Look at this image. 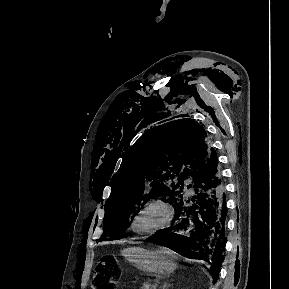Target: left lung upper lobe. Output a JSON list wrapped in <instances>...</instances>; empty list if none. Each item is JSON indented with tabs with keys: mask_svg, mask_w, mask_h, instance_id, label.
Masks as SVG:
<instances>
[{
	"mask_svg": "<svg viewBox=\"0 0 289 289\" xmlns=\"http://www.w3.org/2000/svg\"><path fill=\"white\" fill-rule=\"evenodd\" d=\"M214 152L207 143L205 129L188 118L168 122L142 135L112 178L99 241L123 238L132 217L151 198L162 197L173 205L184 193V181L193 179Z\"/></svg>",
	"mask_w": 289,
	"mask_h": 289,
	"instance_id": "5c2ea615",
	"label": "left lung upper lobe"
}]
</instances>
